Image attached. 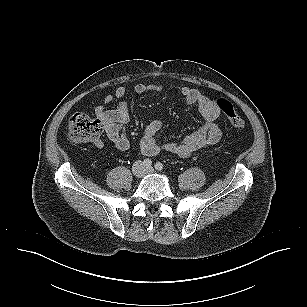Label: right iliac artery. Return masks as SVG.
I'll return each mask as SVG.
<instances>
[{
  "instance_id": "1",
  "label": "right iliac artery",
  "mask_w": 307,
  "mask_h": 307,
  "mask_svg": "<svg viewBox=\"0 0 307 307\" xmlns=\"http://www.w3.org/2000/svg\"><path fill=\"white\" fill-rule=\"evenodd\" d=\"M143 165H144V167H146V168L151 167L152 161H151L150 159L146 158V159H144V161H143Z\"/></svg>"
}]
</instances>
